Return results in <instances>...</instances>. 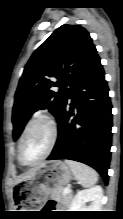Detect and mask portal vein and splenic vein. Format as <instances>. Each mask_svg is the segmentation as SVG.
<instances>
[{"label": "portal vein and splenic vein", "instance_id": "portal-vein-and-splenic-vein-1", "mask_svg": "<svg viewBox=\"0 0 123 219\" xmlns=\"http://www.w3.org/2000/svg\"><path fill=\"white\" fill-rule=\"evenodd\" d=\"M64 193H65V194H69V193H71L70 188H65V189H64Z\"/></svg>", "mask_w": 123, "mask_h": 219}]
</instances>
